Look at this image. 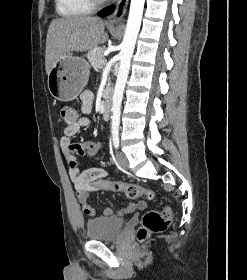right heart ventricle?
I'll list each match as a JSON object with an SVG mask.
<instances>
[{
  "mask_svg": "<svg viewBox=\"0 0 247 280\" xmlns=\"http://www.w3.org/2000/svg\"><path fill=\"white\" fill-rule=\"evenodd\" d=\"M55 4L57 13L63 17L82 16L93 10L89 0H55Z\"/></svg>",
  "mask_w": 247,
  "mask_h": 280,
  "instance_id": "e07e8e85",
  "label": "right heart ventricle"
}]
</instances>
